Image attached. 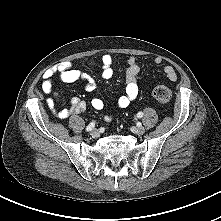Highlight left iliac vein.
I'll use <instances>...</instances> for the list:
<instances>
[{"label": "left iliac vein", "mask_w": 221, "mask_h": 221, "mask_svg": "<svg viewBox=\"0 0 221 221\" xmlns=\"http://www.w3.org/2000/svg\"><path fill=\"white\" fill-rule=\"evenodd\" d=\"M133 133L137 135H142L145 132V128L143 126H137L132 128Z\"/></svg>", "instance_id": "1"}]
</instances>
